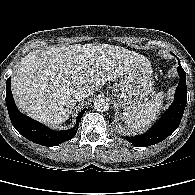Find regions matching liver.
Masks as SVG:
<instances>
[{"label": "liver", "mask_w": 195, "mask_h": 195, "mask_svg": "<svg viewBox=\"0 0 195 195\" xmlns=\"http://www.w3.org/2000/svg\"><path fill=\"white\" fill-rule=\"evenodd\" d=\"M146 58L110 44H74L33 51L22 58L11 78L17 107L50 127L66 121L76 105L73 91L91 94L106 81L126 74Z\"/></svg>", "instance_id": "obj_1"}]
</instances>
